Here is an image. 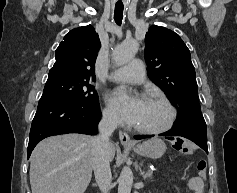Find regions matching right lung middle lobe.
<instances>
[{"instance_id": "dd1d6c3e", "label": "right lung middle lobe", "mask_w": 237, "mask_h": 193, "mask_svg": "<svg viewBox=\"0 0 237 193\" xmlns=\"http://www.w3.org/2000/svg\"><path fill=\"white\" fill-rule=\"evenodd\" d=\"M41 99L59 100L76 107L99 106L97 92L89 79L59 73H49Z\"/></svg>"}]
</instances>
